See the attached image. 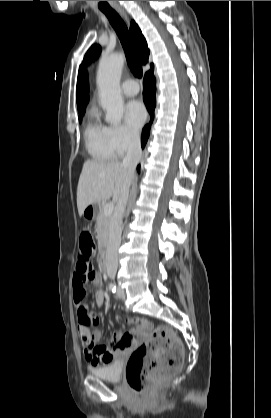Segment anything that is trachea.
I'll return each instance as SVG.
<instances>
[{
    "label": "trachea",
    "instance_id": "trachea-1",
    "mask_svg": "<svg viewBox=\"0 0 271 418\" xmlns=\"http://www.w3.org/2000/svg\"><path fill=\"white\" fill-rule=\"evenodd\" d=\"M101 11L109 19L112 27L114 28L120 39V42L126 54L127 64L131 72L134 74L135 77L141 78L143 74L142 66L139 60L137 59L134 43L129 34L126 24L115 10L103 9Z\"/></svg>",
    "mask_w": 271,
    "mask_h": 418
}]
</instances>
